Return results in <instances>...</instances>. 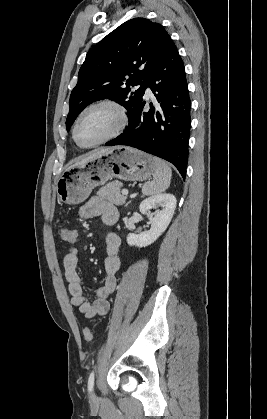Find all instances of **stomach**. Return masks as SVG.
Here are the masks:
<instances>
[{"label": "stomach", "mask_w": 267, "mask_h": 419, "mask_svg": "<svg viewBox=\"0 0 267 419\" xmlns=\"http://www.w3.org/2000/svg\"><path fill=\"white\" fill-rule=\"evenodd\" d=\"M155 171L152 156L126 146L114 147L84 164L71 166L56 182L58 199L75 205L85 201L92 189L112 178L147 180Z\"/></svg>", "instance_id": "obj_1"}]
</instances>
